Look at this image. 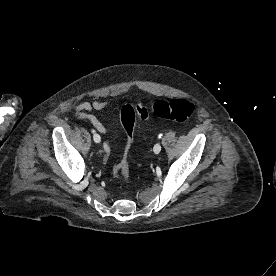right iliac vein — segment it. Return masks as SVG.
<instances>
[{"label": "right iliac vein", "instance_id": "1", "mask_svg": "<svg viewBox=\"0 0 276 276\" xmlns=\"http://www.w3.org/2000/svg\"><path fill=\"white\" fill-rule=\"evenodd\" d=\"M99 137H100V136H99L98 134H94V135H93L94 141H96V139L99 138Z\"/></svg>", "mask_w": 276, "mask_h": 276}]
</instances>
